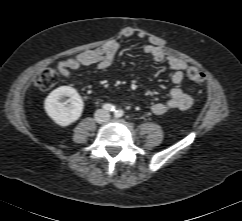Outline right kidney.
Instances as JSON below:
<instances>
[{
	"label": "right kidney",
	"mask_w": 242,
	"mask_h": 221,
	"mask_svg": "<svg viewBox=\"0 0 242 221\" xmlns=\"http://www.w3.org/2000/svg\"><path fill=\"white\" fill-rule=\"evenodd\" d=\"M84 103L76 89L61 86L45 99L44 108L48 116L60 126L76 122L82 115Z\"/></svg>",
	"instance_id": "1"
}]
</instances>
